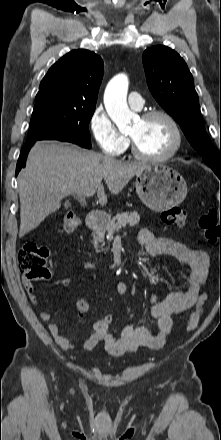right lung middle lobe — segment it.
<instances>
[{
	"label": "right lung middle lobe",
	"mask_w": 221,
	"mask_h": 440,
	"mask_svg": "<svg viewBox=\"0 0 221 440\" xmlns=\"http://www.w3.org/2000/svg\"><path fill=\"white\" fill-rule=\"evenodd\" d=\"M95 106H77L57 101L35 103L27 141L66 140L91 148L88 124Z\"/></svg>",
	"instance_id": "obj_1"
}]
</instances>
